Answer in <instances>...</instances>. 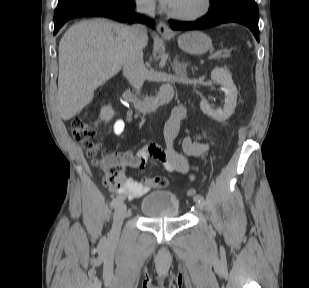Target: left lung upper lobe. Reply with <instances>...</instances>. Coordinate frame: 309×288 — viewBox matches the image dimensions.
I'll list each match as a JSON object with an SVG mask.
<instances>
[{"label": "left lung upper lobe", "mask_w": 309, "mask_h": 288, "mask_svg": "<svg viewBox=\"0 0 309 288\" xmlns=\"http://www.w3.org/2000/svg\"><path fill=\"white\" fill-rule=\"evenodd\" d=\"M221 1H223V0H210V5H211V7H213V6L217 5L218 3H220Z\"/></svg>", "instance_id": "1"}]
</instances>
